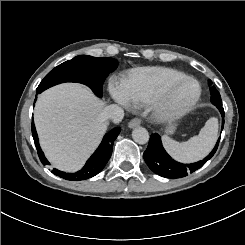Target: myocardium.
Here are the masks:
<instances>
[{
	"label": "myocardium",
	"instance_id": "obj_1",
	"mask_svg": "<svg viewBox=\"0 0 245 245\" xmlns=\"http://www.w3.org/2000/svg\"><path fill=\"white\" fill-rule=\"evenodd\" d=\"M192 82L196 86L194 98L187 104L173 106L167 102V94L176 86L184 82ZM201 96V86L197 80L191 77L164 81L160 83L149 97L148 103L156 116L162 119L176 118L183 116L193 109Z\"/></svg>",
	"mask_w": 245,
	"mask_h": 245
}]
</instances>
